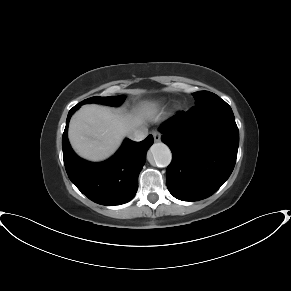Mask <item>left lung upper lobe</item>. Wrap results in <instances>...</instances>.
<instances>
[{
    "label": "left lung upper lobe",
    "instance_id": "obj_1",
    "mask_svg": "<svg viewBox=\"0 0 291 291\" xmlns=\"http://www.w3.org/2000/svg\"><path fill=\"white\" fill-rule=\"evenodd\" d=\"M195 98V104L201 105L205 102L218 98V96L209 91H199L192 94Z\"/></svg>",
    "mask_w": 291,
    "mask_h": 291
}]
</instances>
